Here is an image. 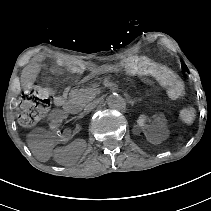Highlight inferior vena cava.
<instances>
[{"label": "inferior vena cava", "instance_id": "602c4592", "mask_svg": "<svg viewBox=\"0 0 211 211\" xmlns=\"http://www.w3.org/2000/svg\"><path fill=\"white\" fill-rule=\"evenodd\" d=\"M96 106L95 102H91L88 105H86V107L84 108L85 112H90L94 109V107Z\"/></svg>", "mask_w": 211, "mask_h": 211}]
</instances>
